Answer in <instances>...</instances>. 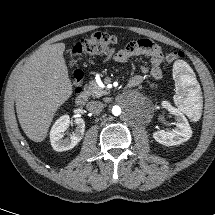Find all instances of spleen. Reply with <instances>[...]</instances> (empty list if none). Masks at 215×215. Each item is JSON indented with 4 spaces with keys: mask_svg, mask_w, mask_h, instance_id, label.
I'll return each instance as SVG.
<instances>
[{
    "mask_svg": "<svg viewBox=\"0 0 215 215\" xmlns=\"http://www.w3.org/2000/svg\"><path fill=\"white\" fill-rule=\"evenodd\" d=\"M173 70L176 87L175 104L186 114L200 110L202 106L200 87L196 78L188 73L189 69L186 67V63L177 60Z\"/></svg>",
    "mask_w": 215,
    "mask_h": 215,
    "instance_id": "3e777b00",
    "label": "spleen"
}]
</instances>
